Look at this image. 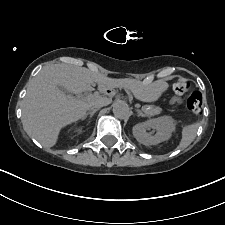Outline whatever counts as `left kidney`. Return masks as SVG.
Here are the masks:
<instances>
[{
    "label": "left kidney",
    "instance_id": "5707ae66",
    "mask_svg": "<svg viewBox=\"0 0 225 225\" xmlns=\"http://www.w3.org/2000/svg\"><path fill=\"white\" fill-rule=\"evenodd\" d=\"M149 129L155 130L156 133L154 135L147 133ZM174 130V120L169 116H162L136 124L132 132L139 143L149 146L168 140Z\"/></svg>",
    "mask_w": 225,
    "mask_h": 225
}]
</instances>
